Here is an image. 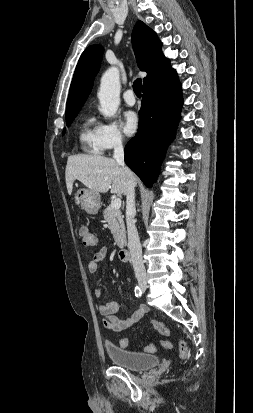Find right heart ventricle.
I'll list each match as a JSON object with an SVG mask.
<instances>
[{"mask_svg":"<svg viewBox=\"0 0 253 413\" xmlns=\"http://www.w3.org/2000/svg\"><path fill=\"white\" fill-rule=\"evenodd\" d=\"M96 126L93 119H86L79 131V142L81 149L90 154H99L101 149L97 141Z\"/></svg>","mask_w":253,"mask_h":413,"instance_id":"e07e8e85","label":"right heart ventricle"}]
</instances>
